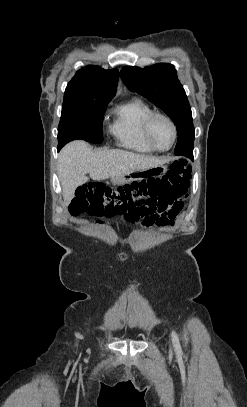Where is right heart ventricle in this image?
<instances>
[{"mask_svg":"<svg viewBox=\"0 0 247 407\" xmlns=\"http://www.w3.org/2000/svg\"><path fill=\"white\" fill-rule=\"evenodd\" d=\"M152 112L150 106L139 99L123 103L112 110L113 120L109 130L121 147L142 154L155 151L143 134L144 121Z\"/></svg>","mask_w":247,"mask_h":407,"instance_id":"obj_1","label":"right heart ventricle"}]
</instances>
